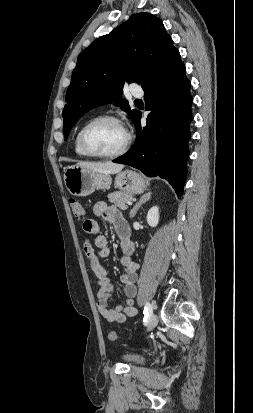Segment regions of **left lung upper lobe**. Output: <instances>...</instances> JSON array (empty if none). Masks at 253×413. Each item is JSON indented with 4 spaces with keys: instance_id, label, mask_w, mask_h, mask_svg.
<instances>
[{
    "instance_id": "1",
    "label": "left lung upper lobe",
    "mask_w": 253,
    "mask_h": 413,
    "mask_svg": "<svg viewBox=\"0 0 253 413\" xmlns=\"http://www.w3.org/2000/svg\"><path fill=\"white\" fill-rule=\"evenodd\" d=\"M174 50L162 21L150 13L132 15L110 34L92 42L78 56L66 92L64 139L81 116L103 104H117L135 123L139 111L131 110L121 99L124 84L137 82L143 88Z\"/></svg>"
}]
</instances>
